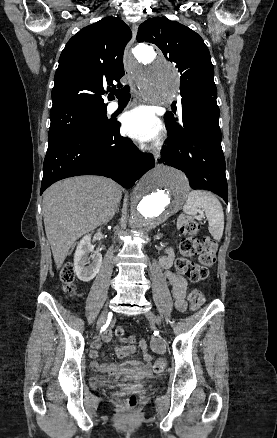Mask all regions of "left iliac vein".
I'll return each mask as SVG.
<instances>
[{"mask_svg": "<svg viewBox=\"0 0 277 438\" xmlns=\"http://www.w3.org/2000/svg\"><path fill=\"white\" fill-rule=\"evenodd\" d=\"M146 317L153 323H156L157 325H160V319H158L154 313L148 312L146 314Z\"/></svg>", "mask_w": 277, "mask_h": 438, "instance_id": "4c4485c4", "label": "left iliac vein"}]
</instances>
